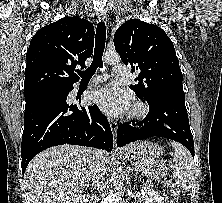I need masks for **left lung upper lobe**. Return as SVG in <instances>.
<instances>
[{"mask_svg":"<svg viewBox=\"0 0 222 203\" xmlns=\"http://www.w3.org/2000/svg\"><path fill=\"white\" fill-rule=\"evenodd\" d=\"M114 45L122 62L132 72L140 71L137 84L130 85L139 98L149 102L166 93L185 96L174 45L163 29L131 19L117 29Z\"/></svg>","mask_w":222,"mask_h":203,"instance_id":"obj_1","label":"left lung upper lobe"}]
</instances>
